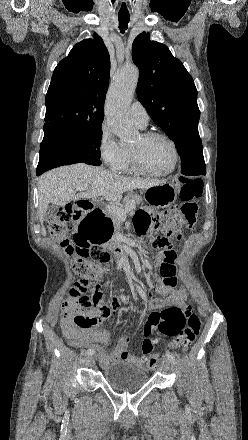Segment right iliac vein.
<instances>
[{
    "instance_id": "1",
    "label": "right iliac vein",
    "mask_w": 248,
    "mask_h": 440,
    "mask_svg": "<svg viewBox=\"0 0 248 440\" xmlns=\"http://www.w3.org/2000/svg\"><path fill=\"white\" fill-rule=\"evenodd\" d=\"M86 360H87V365L88 366H93V364H94V357L92 355H89Z\"/></svg>"
}]
</instances>
